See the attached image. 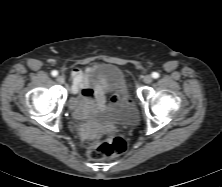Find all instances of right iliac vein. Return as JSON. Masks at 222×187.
<instances>
[{"label": "right iliac vein", "mask_w": 222, "mask_h": 187, "mask_svg": "<svg viewBox=\"0 0 222 187\" xmlns=\"http://www.w3.org/2000/svg\"><path fill=\"white\" fill-rule=\"evenodd\" d=\"M56 80L59 84H64L65 83V78L63 76H58Z\"/></svg>", "instance_id": "63e3f726"}]
</instances>
